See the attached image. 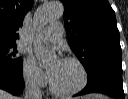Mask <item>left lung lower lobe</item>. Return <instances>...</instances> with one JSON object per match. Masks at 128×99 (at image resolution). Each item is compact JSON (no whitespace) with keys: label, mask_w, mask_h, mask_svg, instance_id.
Returning a JSON list of instances; mask_svg holds the SVG:
<instances>
[{"label":"left lung lower lobe","mask_w":128,"mask_h":99,"mask_svg":"<svg viewBox=\"0 0 128 99\" xmlns=\"http://www.w3.org/2000/svg\"><path fill=\"white\" fill-rule=\"evenodd\" d=\"M86 72L88 74V83L75 96L102 93L115 99H124L121 59H97Z\"/></svg>","instance_id":"1"}]
</instances>
